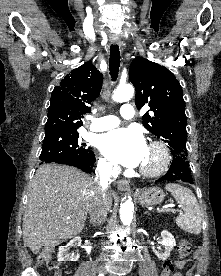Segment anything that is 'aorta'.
Instances as JSON below:
<instances>
[{"label": "aorta", "instance_id": "aorta-1", "mask_svg": "<svg viewBox=\"0 0 221 276\" xmlns=\"http://www.w3.org/2000/svg\"><path fill=\"white\" fill-rule=\"evenodd\" d=\"M134 95V88L132 85H121L116 88L112 99L116 102H125L130 100ZM134 205L129 198L120 206V219L123 225H130L133 219Z\"/></svg>", "mask_w": 221, "mask_h": 276}]
</instances>
